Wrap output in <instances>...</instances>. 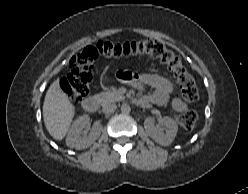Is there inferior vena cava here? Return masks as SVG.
Masks as SVG:
<instances>
[{
	"label": "inferior vena cava",
	"instance_id": "602c4592",
	"mask_svg": "<svg viewBox=\"0 0 248 194\" xmlns=\"http://www.w3.org/2000/svg\"><path fill=\"white\" fill-rule=\"evenodd\" d=\"M117 106L115 104H106L103 106V112L105 113H112L116 110Z\"/></svg>",
	"mask_w": 248,
	"mask_h": 194
}]
</instances>
